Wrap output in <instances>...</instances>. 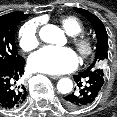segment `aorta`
I'll return each mask as SVG.
<instances>
[{"instance_id":"obj_1","label":"aorta","mask_w":117,"mask_h":117,"mask_svg":"<svg viewBox=\"0 0 117 117\" xmlns=\"http://www.w3.org/2000/svg\"><path fill=\"white\" fill-rule=\"evenodd\" d=\"M39 35L42 41L57 45H60L65 38L64 32L59 27L51 24L42 27ZM57 89L62 94L70 93L73 89L72 80L69 78L60 79L57 83Z\"/></svg>"}]
</instances>
